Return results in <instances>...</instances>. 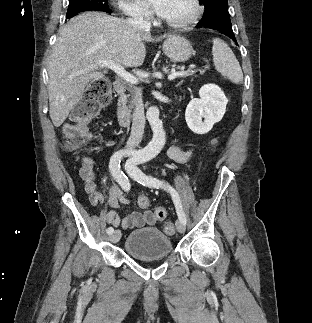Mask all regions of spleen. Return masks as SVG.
<instances>
[{
	"label": "spleen",
	"mask_w": 312,
	"mask_h": 323,
	"mask_svg": "<svg viewBox=\"0 0 312 323\" xmlns=\"http://www.w3.org/2000/svg\"><path fill=\"white\" fill-rule=\"evenodd\" d=\"M212 42V56L217 72H220L222 76H226L233 84H241L243 82L242 70L228 44L220 40V38H214Z\"/></svg>",
	"instance_id": "obj_1"
}]
</instances>
